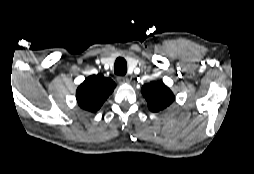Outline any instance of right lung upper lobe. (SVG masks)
<instances>
[{
    "label": "right lung upper lobe",
    "instance_id": "cb5924a9",
    "mask_svg": "<svg viewBox=\"0 0 254 174\" xmlns=\"http://www.w3.org/2000/svg\"><path fill=\"white\" fill-rule=\"evenodd\" d=\"M115 87L116 84L110 78L100 74L90 76L77 88L78 105L86 111L96 112Z\"/></svg>",
    "mask_w": 254,
    "mask_h": 174
}]
</instances>
